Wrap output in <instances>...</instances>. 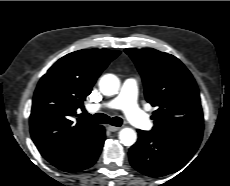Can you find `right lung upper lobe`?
<instances>
[{"mask_svg":"<svg viewBox=\"0 0 230 186\" xmlns=\"http://www.w3.org/2000/svg\"><path fill=\"white\" fill-rule=\"evenodd\" d=\"M120 51L84 49L60 58L40 79L33 97L30 133L42 156L55 165L86 142L99 125L77 118L76 110Z\"/></svg>","mask_w":230,"mask_h":186,"instance_id":"right-lung-upper-lobe-1","label":"right lung upper lobe"}]
</instances>
